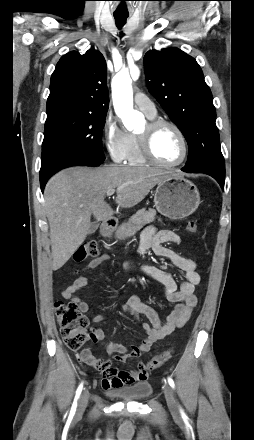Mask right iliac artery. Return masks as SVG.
Masks as SVG:
<instances>
[{
    "label": "right iliac artery",
    "mask_w": 254,
    "mask_h": 440,
    "mask_svg": "<svg viewBox=\"0 0 254 440\" xmlns=\"http://www.w3.org/2000/svg\"><path fill=\"white\" fill-rule=\"evenodd\" d=\"M82 389H83V383H81L79 385V387L77 388V390H76V395H75L74 402L72 404L71 411H70L71 414H75L76 407H77V401H78V399L80 397Z\"/></svg>",
    "instance_id": "82829eb1"
}]
</instances>
